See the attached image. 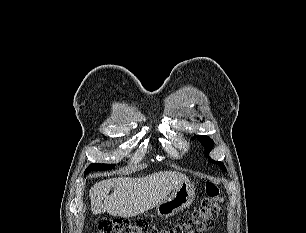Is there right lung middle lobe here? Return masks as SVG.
Wrapping results in <instances>:
<instances>
[{"mask_svg":"<svg viewBox=\"0 0 306 233\" xmlns=\"http://www.w3.org/2000/svg\"><path fill=\"white\" fill-rule=\"evenodd\" d=\"M115 165L111 164H97V163H92L90 164L87 169L84 172V175H86L87 173H89L92 170H107L110 168H113Z\"/></svg>","mask_w":306,"mask_h":233,"instance_id":"dd1d6c3e","label":"right lung middle lobe"}]
</instances>
